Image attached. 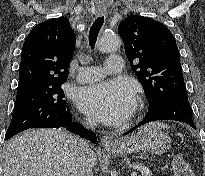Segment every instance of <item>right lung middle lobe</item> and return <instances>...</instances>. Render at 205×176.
I'll return each mask as SVG.
<instances>
[{
	"label": "right lung middle lobe",
	"instance_id": "1",
	"mask_svg": "<svg viewBox=\"0 0 205 176\" xmlns=\"http://www.w3.org/2000/svg\"><path fill=\"white\" fill-rule=\"evenodd\" d=\"M63 98L64 91L61 85L17 94L5 140L40 122L60 118L69 112L67 102Z\"/></svg>",
	"mask_w": 205,
	"mask_h": 176
}]
</instances>
